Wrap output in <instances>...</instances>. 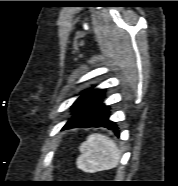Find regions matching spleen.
Listing matches in <instances>:
<instances>
[{
    "label": "spleen",
    "mask_w": 178,
    "mask_h": 186,
    "mask_svg": "<svg viewBox=\"0 0 178 186\" xmlns=\"http://www.w3.org/2000/svg\"><path fill=\"white\" fill-rule=\"evenodd\" d=\"M77 166L85 172L109 170L118 165L121 152L115 142L102 134H91L79 148Z\"/></svg>",
    "instance_id": "spleen-1"
}]
</instances>
